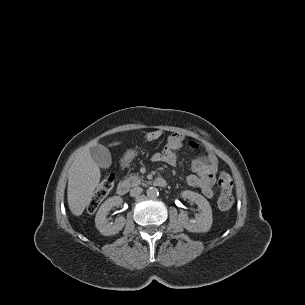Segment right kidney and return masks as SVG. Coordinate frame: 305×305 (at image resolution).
<instances>
[{"instance_id": "1", "label": "right kidney", "mask_w": 305, "mask_h": 305, "mask_svg": "<svg viewBox=\"0 0 305 305\" xmlns=\"http://www.w3.org/2000/svg\"><path fill=\"white\" fill-rule=\"evenodd\" d=\"M123 203V200L119 196H113L107 199L98 209L95 217V225L99 232L104 236H110L119 233L124 225L125 218L123 216L117 217L114 222L107 220L108 212L114 207Z\"/></svg>"}]
</instances>
